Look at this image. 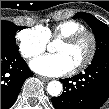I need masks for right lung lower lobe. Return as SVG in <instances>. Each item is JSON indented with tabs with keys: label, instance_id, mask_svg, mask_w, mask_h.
Segmentation results:
<instances>
[{
	"label": "right lung lower lobe",
	"instance_id": "98d812e1",
	"mask_svg": "<svg viewBox=\"0 0 109 109\" xmlns=\"http://www.w3.org/2000/svg\"><path fill=\"white\" fill-rule=\"evenodd\" d=\"M33 73L18 51L1 49V109H9Z\"/></svg>",
	"mask_w": 109,
	"mask_h": 109
}]
</instances>
